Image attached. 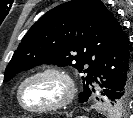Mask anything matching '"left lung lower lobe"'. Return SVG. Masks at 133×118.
<instances>
[{
    "label": "left lung lower lobe",
    "instance_id": "obj_1",
    "mask_svg": "<svg viewBox=\"0 0 133 118\" xmlns=\"http://www.w3.org/2000/svg\"><path fill=\"white\" fill-rule=\"evenodd\" d=\"M130 42L122 28L97 62L91 79L90 93L95 92L92 83L102 89L101 94L115 103L132 94L133 76Z\"/></svg>",
    "mask_w": 133,
    "mask_h": 118
}]
</instances>
